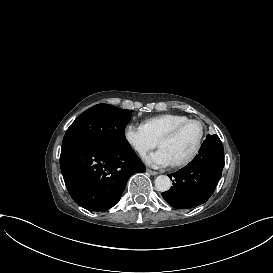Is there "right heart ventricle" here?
<instances>
[{
	"label": "right heart ventricle",
	"instance_id": "1",
	"mask_svg": "<svg viewBox=\"0 0 273 273\" xmlns=\"http://www.w3.org/2000/svg\"><path fill=\"white\" fill-rule=\"evenodd\" d=\"M190 117L183 114H163L146 119L143 125L158 141L160 137L173 127L189 120Z\"/></svg>",
	"mask_w": 273,
	"mask_h": 273
}]
</instances>
